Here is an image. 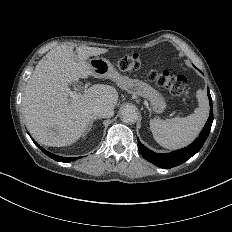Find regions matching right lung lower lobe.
Listing matches in <instances>:
<instances>
[{"label":"right lung lower lobe","instance_id":"obj_1","mask_svg":"<svg viewBox=\"0 0 232 232\" xmlns=\"http://www.w3.org/2000/svg\"><path fill=\"white\" fill-rule=\"evenodd\" d=\"M34 141V140H33ZM34 143L39 147V145L34 141ZM41 149V151H43L44 154H46L47 156H49L50 158L56 160V161H59V162H70V161H74L78 158H68V157H61V156H58V155H55V154H52L48 151H46L45 149H43L42 147H39ZM80 158V157H79Z\"/></svg>","mask_w":232,"mask_h":232}]
</instances>
